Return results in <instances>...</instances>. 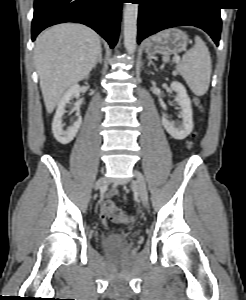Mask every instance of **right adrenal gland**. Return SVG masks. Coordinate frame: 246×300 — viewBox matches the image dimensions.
<instances>
[{
	"instance_id": "2a0ac1e0",
	"label": "right adrenal gland",
	"mask_w": 246,
	"mask_h": 300,
	"mask_svg": "<svg viewBox=\"0 0 246 300\" xmlns=\"http://www.w3.org/2000/svg\"><path fill=\"white\" fill-rule=\"evenodd\" d=\"M98 63H102V50L100 51V53H99V55H98V58H97V60H96V62H95V64H94V66H93L94 69L96 68V65H97Z\"/></svg>"
}]
</instances>
